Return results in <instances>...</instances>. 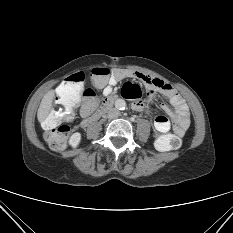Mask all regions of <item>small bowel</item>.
I'll return each mask as SVG.
<instances>
[{
  "mask_svg": "<svg viewBox=\"0 0 233 233\" xmlns=\"http://www.w3.org/2000/svg\"><path fill=\"white\" fill-rule=\"evenodd\" d=\"M125 79H132L135 82L143 84L150 91V99H152L156 93H160L169 98L174 108L161 104L162 110L170 117V120L164 115L156 116L154 127L158 132L167 133L172 129L178 136H182L185 133L190 123L189 110L182 96L172 85L162 79L142 72L117 68L112 72L107 83L103 86V94L107 97L110 96L113 87ZM130 84L132 88L126 97L132 100L133 110L139 113L149 114L150 105L142 101L139 86L136 83ZM94 108L95 105H89L87 102H84L79 111L80 116L87 120L91 117Z\"/></svg>",
  "mask_w": 233,
  "mask_h": 233,
  "instance_id": "c3829d8e",
  "label": "small bowel"
}]
</instances>
